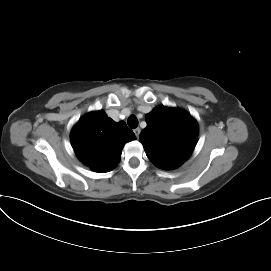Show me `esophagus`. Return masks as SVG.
<instances>
[{
  "mask_svg": "<svg viewBox=\"0 0 271 271\" xmlns=\"http://www.w3.org/2000/svg\"><path fill=\"white\" fill-rule=\"evenodd\" d=\"M140 132H141L140 128H135L134 129V133H135V135H136L137 138L139 137Z\"/></svg>",
  "mask_w": 271,
  "mask_h": 271,
  "instance_id": "esophagus-1",
  "label": "esophagus"
}]
</instances>
